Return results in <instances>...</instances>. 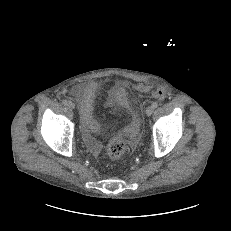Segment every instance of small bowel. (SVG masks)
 Returning <instances> with one entry per match:
<instances>
[{
	"mask_svg": "<svg viewBox=\"0 0 231 231\" xmlns=\"http://www.w3.org/2000/svg\"><path fill=\"white\" fill-rule=\"evenodd\" d=\"M97 84L95 82H88L83 84H77L72 87L70 94L79 99L82 104L81 121L83 127V137L91 151L97 153L100 149L99 143L94 138L93 134L102 132L101 126L93 118L92 102L97 91ZM114 98L117 102L124 100L123 98L116 96ZM132 142L134 143L137 134H130Z\"/></svg>",
	"mask_w": 231,
	"mask_h": 231,
	"instance_id": "1",
	"label": "small bowel"
}]
</instances>
